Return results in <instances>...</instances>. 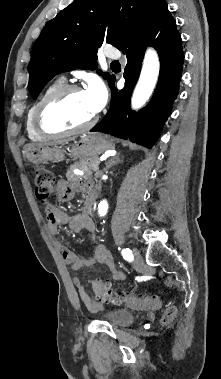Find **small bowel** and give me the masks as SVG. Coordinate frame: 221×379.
<instances>
[{
  "label": "small bowel",
  "instance_id": "c3829d8e",
  "mask_svg": "<svg viewBox=\"0 0 221 379\" xmlns=\"http://www.w3.org/2000/svg\"><path fill=\"white\" fill-rule=\"evenodd\" d=\"M90 189L91 183L89 181H84L80 184H72L66 180H59L57 183V197L60 202H68L74 197L77 191H87ZM46 214L48 232L54 238L56 246L60 250L61 256L66 265L70 266L74 271H78L85 267L105 265L108 267L111 277L114 280H124V273L116 267L109 251L103 245L96 242V227L88 213L82 212L69 216L59 208L48 204L46 206ZM65 224H67L73 232H84L94 243H96L91 257L88 259L78 257L73 251L68 249L58 240L59 227ZM73 283L79 297L89 309L96 310L100 308L101 305L90 298L78 277L73 278Z\"/></svg>",
  "mask_w": 221,
  "mask_h": 379
}]
</instances>
